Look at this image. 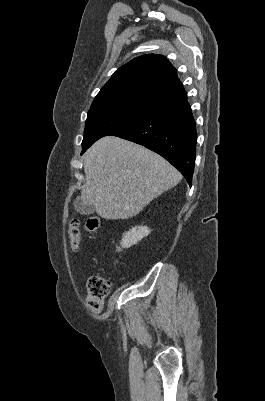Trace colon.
Masks as SVG:
<instances>
[{"label": "colon", "instance_id": "1", "mask_svg": "<svg viewBox=\"0 0 265 401\" xmlns=\"http://www.w3.org/2000/svg\"><path fill=\"white\" fill-rule=\"evenodd\" d=\"M100 225V219L97 216H90L87 218L85 227L89 232H95ZM80 223L77 218H72L68 225V234L70 238V245L74 252H77L80 247ZM112 288L111 282L102 276H91L87 282V296L86 303L88 308L93 313H98L105 298L109 295Z\"/></svg>", "mask_w": 265, "mask_h": 401}]
</instances>
